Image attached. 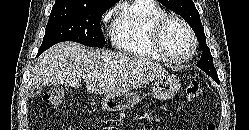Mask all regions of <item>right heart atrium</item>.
<instances>
[{
    "label": "right heart atrium",
    "instance_id": "obj_1",
    "mask_svg": "<svg viewBox=\"0 0 249 130\" xmlns=\"http://www.w3.org/2000/svg\"><path fill=\"white\" fill-rule=\"evenodd\" d=\"M113 12H114L113 9H112V10H109V11L103 16L102 21H103V22L108 21V20L110 19V17L112 16Z\"/></svg>",
    "mask_w": 249,
    "mask_h": 130
}]
</instances>
